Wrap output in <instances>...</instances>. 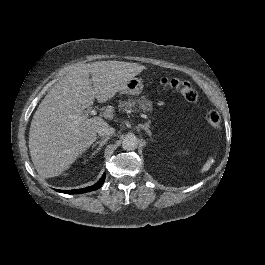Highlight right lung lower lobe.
<instances>
[{
  "label": "right lung lower lobe",
  "instance_id": "right-lung-lower-lobe-1",
  "mask_svg": "<svg viewBox=\"0 0 265 265\" xmlns=\"http://www.w3.org/2000/svg\"><path fill=\"white\" fill-rule=\"evenodd\" d=\"M104 180H105V174H103V176L101 177V179L99 180L98 183H96L90 187H86L83 189L67 190V191H64V190H56V191L61 192V193H65V194H78V193L90 192V191H94V190L100 188L101 185L103 184Z\"/></svg>",
  "mask_w": 265,
  "mask_h": 265
}]
</instances>
